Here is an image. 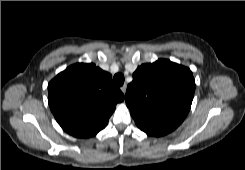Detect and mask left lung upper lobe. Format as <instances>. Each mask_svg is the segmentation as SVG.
Returning <instances> with one entry per match:
<instances>
[{"mask_svg":"<svg viewBox=\"0 0 245 170\" xmlns=\"http://www.w3.org/2000/svg\"><path fill=\"white\" fill-rule=\"evenodd\" d=\"M195 91L189 68L159 59L133 73L125 101L140 129L168 134L187 116Z\"/></svg>","mask_w":245,"mask_h":170,"instance_id":"1","label":"left lung upper lobe"}]
</instances>
